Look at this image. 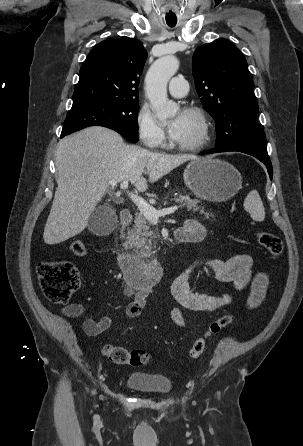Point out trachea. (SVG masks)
<instances>
[{
  "label": "trachea",
  "instance_id": "1",
  "mask_svg": "<svg viewBox=\"0 0 303 446\" xmlns=\"http://www.w3.org/2000/svg\"><path fill=\"white\" fill-rule=\"evenodd\" d=\"M168 26H170V27H174L175 25H173V24H168Z\"/></svg>",
  "mask_w": 303,
  "mask_h": 446
}]
</instances>
